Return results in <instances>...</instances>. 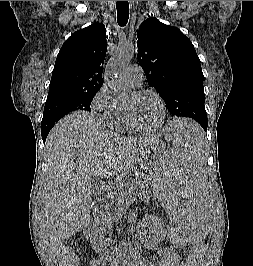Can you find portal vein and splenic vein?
<instances>
[{
  "label": "portal vein and splenic vein",
  "instance_id": "portal-vein-and-splenic-vein-1",
  "mask_svg": "<svg viewBox=\"0 0 253 266\" xmlns=\"http://www.w3.org/2000/svg\"><path fill=\"white\" fill-rule=\"evenodd\" d=\"M97 181H99L100 183H102V180H100V178H97ZM103 186L106 187V189H109L110 188V186L108 184H104Z\"/></svg>",
  "mask_w": 253,
  "mask_h": 266
}]
</instances>
